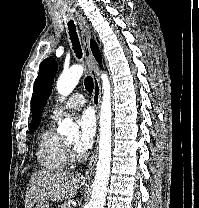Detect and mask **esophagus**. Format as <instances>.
Instances as JSON below:
<instances>
[{
    "instance_id": "34e87169",
    "label": "esophagus",
    "mask_w": 199,
    "mask_h": 208,
    "mask_svg": "<svg viewBox=\"0 0 199 208\" xmlns=\"http://www.w3.org/2000/svg\"><path fill=\"white\" fill-rule=\"evenodd\" d=\"M75 14H76L77 22H78L79 29H80V36H81L84 56L89 66L90 75L93 78V82H94L92 102H93L95 111L97 113V118H98L100 100H101V87H100V81L97 75L98 66L90 49L91 28L89 24L87 23L85 17H83L78 11H76ZM97 159H98V145L96 144V148L94 150L93 155L90 158V161L88 163L87 169L84 174L85 178H90L93 175Z\"/></svg>"
}]
</instances>
